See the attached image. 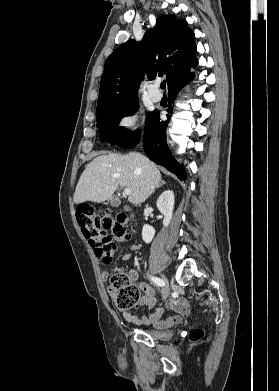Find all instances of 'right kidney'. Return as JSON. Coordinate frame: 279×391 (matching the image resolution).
I'll use <instances>...</instances> for the list:
<instances>
[{"instance_id":"ca27d5eb","label":"right kidney","mask_w":279,"mask_h":391,"mask_svg":"<svg viewBox=\"0 0 279 391\" xmlns=\"http://www.w3.org/2000/svg\"><path fill=\"white\" fill-rule=\"evenodd\" d=\"M174 193L171 190L164 191L157 200V208L164 215L163 226L167 227L170 224L174 209ZM155 235V229L145 224L142 229V239L149 244Z\"/></svg>"}]
</instances>
